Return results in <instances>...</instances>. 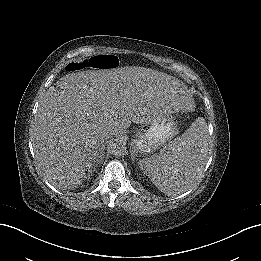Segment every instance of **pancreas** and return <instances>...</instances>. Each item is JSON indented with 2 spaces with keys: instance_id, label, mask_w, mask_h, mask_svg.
Listing matches in <instances>:
<instances>
[{
  "instance_id": "pancreas-1",
  "label": "pancreas",
  "mask_w": 261,
  "mask_h": 261,
  "mask_svg": "<svg viewBox=\"0 0 261 261\" xmlns=\"http://www.w3.org/2000/svg\"><path fill=\"white\" fill-rule=\"evenodd\" d=\"M169 127H170V131H171V133H174V126L171 124V125H169Z\"/></svg>"
}]
</instances>
